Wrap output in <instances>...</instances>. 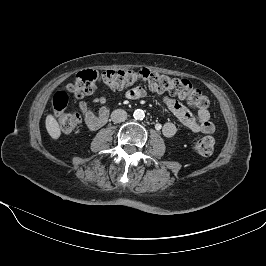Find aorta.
<instances>
[{
	"label": "aorta",
	"mask_w": 266,
	"mask_h": 266,
	"mask_svg": "<svg viewBox=\"0 0 266 266\" xmlns=\"http://www.w3.org/2000/svg\"><path fill=\"white\" fill-rule=\"evenodd\" d=\"M133 117H134L136 120H143L144 117H145V113H144L143 110H141V109H137V110L134 111Z\"/></svg>",
	"instance_id": "762f6f07"
}]
</instances>
